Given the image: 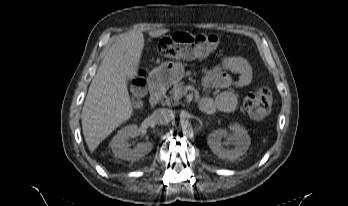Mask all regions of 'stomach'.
Returning <instances> with one entry per match:
<instances>
[{
	"instance_id": "1",
	"label": "stomach",
	"mask_w": 348,
	"mask_h": 206,
	"mask_svg": "<svg viewBox=\"0 0 348 206\" xmlns=\"http://www.w3.org/2000/svg\"><path fill=\"white\" fill-rule=\"evenodd\" d=\"M186 40L181 43L186 58H205L209 50L217 45L215 40L207 35L186 34ZM150 77L156 84L169 87L184 77V66L181 62L166 61L150 72Z\"/></svg>"
}]
</instances>
